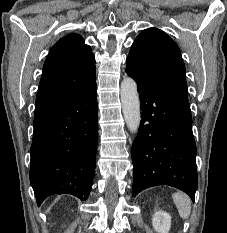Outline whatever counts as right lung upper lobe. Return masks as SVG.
<instances>
[{"mask_svg":"<svg viewBox=\"0 0 227 233\" xmlns=\"http://www.w3.org/2000/svg\"><path fill=\"white\" fill-rule=\"evenodd\" d=\"M96 83L95 58L83 38L71 33L50 50L39 83L35 115L74 97Z\"/></svg>","mask_w":227,"mask_h":233,"instance_id":"right-lung-upper-lobe-1","label":"right lung upper lobe"}]
</instances>
